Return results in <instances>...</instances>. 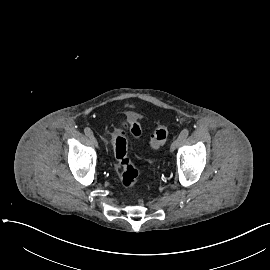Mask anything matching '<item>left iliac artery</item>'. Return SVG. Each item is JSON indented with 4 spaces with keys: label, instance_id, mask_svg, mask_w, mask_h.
Masks as SVG:
<instances>
[{
    "label": "left iliac artery",
    "instance_id": "1",
    "mask_svg": "<svg viewBox=\"0 0 270 270\" xmlns=\"http://www.w3.org/2000/svg\"><path fill=\"white\" fill-rule=\"evenodd\" d=\"M188 135H189V130L188 129H183L181 131L180 135H179V138H180L181 142L184 141L187 138Z\"/></svg>",
    "mask_w": 270,
    "mask_h": 270
}]
</instances>
